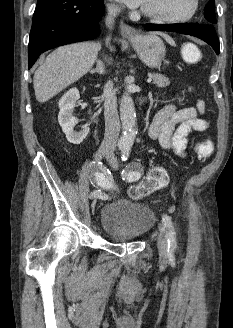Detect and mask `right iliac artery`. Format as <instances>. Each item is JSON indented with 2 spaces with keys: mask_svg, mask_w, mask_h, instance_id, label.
Returning a JSON list of instances; mask_svg holds the SVG:
<instances>
[{
  "mask_svg": "<svg viewBox=\"0 0 233 328\" xmlns=\"http://www.w3.org/2000/svg\"><path fill=\"white\" fill-rule=\"evenodd\" d=\"M92 167L97 169V172L94 174L95 178L93 179L92 184L97 186L98 189L94 190L90 197L107 200L110 198L111 193L116 190L115 183L110 177L109 172L103 167L102 162H93Z\"/></svg>",
  "mask_w": 233,
  "mask_h": 328,
  "instance_id": "right-iliac-artery-1",
  "label": "right iliac artery"
}]
</instances>
